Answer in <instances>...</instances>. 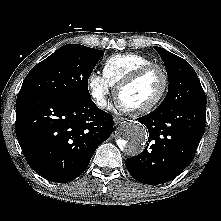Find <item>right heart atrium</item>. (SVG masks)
I'll list each match as a JSON object with an SVG mask.
<instances>
[{"label": "right heart atrium", "instance_id": "obj_1", "mask_svg": "<svg viewBox=\"0 0 221 221\" xmlns=\"http://www.w3.org/2000/svg\"><path fill=\"white\" fill-rule=\"evenodd\" d=\"M88 88L96 105L101 109L106 108L111 85L105 77L97 72H92L88 77Z\"/></svg>", "mask_w": 221, "mask_h": 221}]
</instances>
